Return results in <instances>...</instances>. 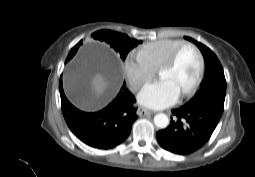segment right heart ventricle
<instances>
[{
  "label": "right heart ventricle",
  "mask_w": 255,
  "mask_h": 177,
  "mask_svg": "<svg viewBox=\"0 0 255 177\" xmlns=\"http://www.w3.org/2000/svg\"><path fill=\"white\" fill-rule=\"evenodd\" d=\"M182 43H184V41L179 39L157 40L145 44L139 52L155 69H157L168 60L173 51Z\"/></svg>",
  "instance_id": "1"
}]
</instances>
